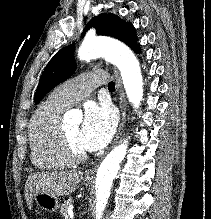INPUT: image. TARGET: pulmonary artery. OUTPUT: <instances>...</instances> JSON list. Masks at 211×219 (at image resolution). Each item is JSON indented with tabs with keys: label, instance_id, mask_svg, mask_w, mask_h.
<instances>
[{
	"label": "pulmonary artery",
	"instance_id": "1",
	"mask_svg": "<svg viewBox=\"0 0 211 219\" xmlns=\"http://www.w3.org/2000/svg\"><path fill=\"white\" fill-rule=\"evenodd\" d=\"M107 79L108 75L104 71L84 72L57 87L51 93L49 99L56 104L69 108L86 97L97 85L106 82Z\"/></svg>",
	"mask_w": 211,
	"mask_h": 219
}]
</instances>
